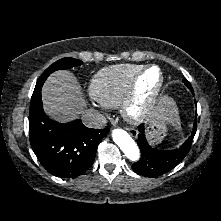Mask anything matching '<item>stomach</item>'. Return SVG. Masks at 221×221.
Segmentation results:
<instances>
[{
    "label": "stomach",
    "instance_id": "0dacf381",
    "mask_svg": "<svg viewBox=\"0 0 221 221\" xmlns=\"http://www.w3.org/2000/svg\"><path fill=\"white\" fill-rule=\"evenodd\" d=\"M169 99L170 98L166 96H163L159 99L158 105L148 123L147 129H146V136H147L148 141L152 145L159 144L167 135L169 122L164 117L163 113H161L160 108Z\"/></svg>",
    "mask_w": 221,
    "mask_h": 221
}]
</instances>
